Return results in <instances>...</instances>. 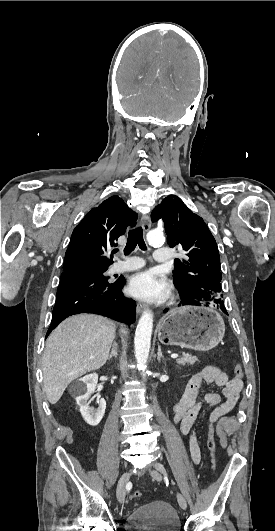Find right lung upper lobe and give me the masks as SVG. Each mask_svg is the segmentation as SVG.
Here are the masks:
<instances>
[{
    "instance_id": "obj_1",
    "label": "right lung upper lobe",
    "mask_w": 275,
    "mask_h": 531,
    "mask_svg": "<svg viewBox=\"0 0 275 531\" xmlns=\"http://www.w3.org/2000/svg\"><path fill=\"white\" fill-rule=\"evenodd\" d=\"M137 214L119 196H112L91 211L73 230L63 271L83 266H110L108 247L116 246L119 236L136 225Z\"/></svg>"
}]
</instances>
